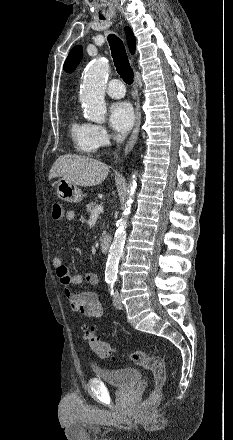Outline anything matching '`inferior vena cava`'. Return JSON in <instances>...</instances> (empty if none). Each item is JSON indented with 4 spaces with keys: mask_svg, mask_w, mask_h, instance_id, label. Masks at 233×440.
I'll return each instance as SVG.
<instances>
[{
    "mask_svg": "<svg viewBox=\"0 0 233 440\" xmlns=\"http://www.w3.org/2000/svg\"><path fill=\"white\" fill-rule=\"evenodd\" d=\"M116 141L118 143H122L123 142V137H121V136L116 137Z\"/></svg>",
    "mask_w": 233,
    "mask_h": 440,
    "instance_id": "obj_1",
    "label": "inferior vena cava"
}]
</instances>
